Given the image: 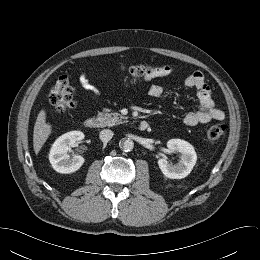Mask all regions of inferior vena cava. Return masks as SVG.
I'll return each instance as SVG.
<instances>
[{
    "label": "inferior vena cava",
    "mask_w": 260,
    "mask_h": 260,
    "mask_svg": "<svg viewBox=\"0 0 260 260\" xmlns=\"http://www.w3.org/2000/svg\"><path fill=\"white\" fill-rule=\"evenodd\" d=\"M113 135L114 133L111 130L104 129L100 132L99 137L102 142H108L112 139Z\"/></svg>",
    "instance_id": "inferior-vena-cava-1"
}]
</instances>
